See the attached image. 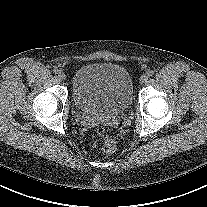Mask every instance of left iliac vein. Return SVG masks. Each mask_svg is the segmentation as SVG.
I'll return each instance as SVG.
<instances>
[{"mask_svg": "<svg viewBox=\"0 0 207 207\" xmlns=\"http://www.w3.org/2000/svg\"><path fill=\"white\" fill-rule=\"evenodd\" d=\"M147 80H148V75H146V74H143V75L140 77V82H141V83H145Z\"/></svg>", "mask_w": 207, "mask_h": 207, "instance_id": "left-iliac-vein-1", "label": "left iliac vein"}]
</instances>
